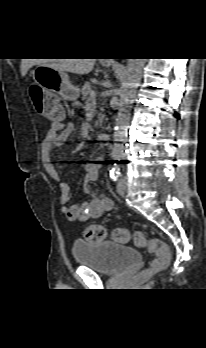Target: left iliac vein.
I'll return each instance as SVG.
<instances>
[{
    "label": "left iliac vein",
    "mask_w": 206,
    "mask_h": 348,
    "mask_svg": "<svg viewBox=\"0 0 206 348\" xmlns=\"http://www.w3.org/2000/svg\"><path fill=\"white\" fill-rule=\"evenodd\" d=\"M126 184H127V181L125 178H121L117 184V192L119 194H124L126 192Z\"/></svg>",
    "instance_id": "obj_1"
}]
</instances>
